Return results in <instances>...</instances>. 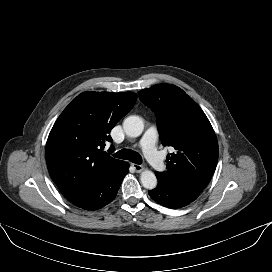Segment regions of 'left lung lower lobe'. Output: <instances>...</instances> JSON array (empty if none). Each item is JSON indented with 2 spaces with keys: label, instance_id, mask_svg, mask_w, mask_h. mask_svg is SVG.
<instances>
[{
  "label": "left lung lower lobe",
  "instance_id": "left-lung-lower-lobe-1",
  "mask_svg": "<svg viewBox=\"0 0 272 272\" xmlns=\"http://www.w3.org/2000/svg\"><path fill=\"white\" fill-rule=\"evenodd\" d=\"M156 177L158 186L148 193L153 200L171 209L181 208L190 204L202 192L198 188L181 182L167 180L158 175Z\"/></svg>",
  "mask_w": 272,
  "mask_h": 272
}]
</instances>
